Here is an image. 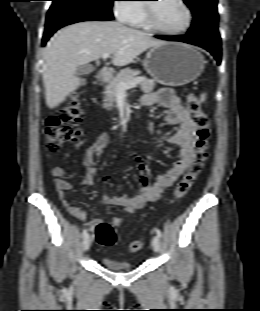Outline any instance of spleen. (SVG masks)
<instances>
[{"label":"spleen","mask_w":260,"mask_h":311,"mask_svg":"<svg viewBox=\"0 0 260 311\" xmlns=\"http://www.w3.org/2000/svg\"><path fill=\"white\" fill-rule=\"evenodd\" d=\"M205 99H206V94H205V93L201 94V95H200V102H201V103L204 102Z\"/></svg>","instance_id":"1"}]
</instances>
